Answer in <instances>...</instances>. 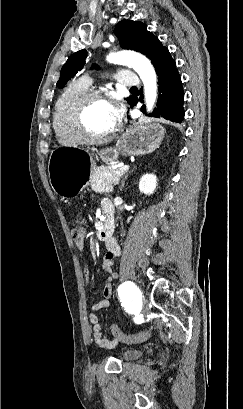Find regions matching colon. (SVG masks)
Listing matches in <instances>:
<instances>
[{"label": "colon", "instance_id": "1", "mask_svg": "<svg viewBox=\"0 0 243 409\" xmlns=\"http://www.w3.org/2000/svg\"><path fill=\"white\" fill-rule=\"evenodd\" d=\"M76 223V228L72 231V238L77 246L78 249L83 248L84 244V229H83V224L84 220L83 219H77L75 221ZM111 333L113 337L118 339V341H121L123 343L127 344H133V343H139L144 340H146L149 336V331H143L135 335H128L123 333L117 325H112L111 326Z\"/></svg>", "mask_w": 243, "mask_h": 409}]
</instances>
